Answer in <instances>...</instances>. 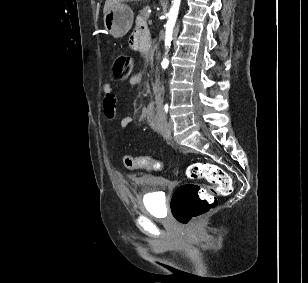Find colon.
<instances>
[{
  "label": "colon",
  "instance_id": "obj_1",
  "mask_svg": "<svg viewBox=\"0 0 308 283\" xmlns=\"http://www.w3.org/2000/svg\"><path fill=\"white\" fill-rule=\"evenodd\" d=\"M133 62L128 55L115 58L111 76L113 80H123L132 71ZM124 165L128 169H160L161 164L147 156H124ZM187 175L192 179H204L208 185L186 183L179 186L171 198V210L174 219L183 226H190L201 220L216 206L217 195H228L232 189L229 174L220 166L197 162L188 167Z\"/></svg>",
  "mask_w": 308,
  "mask_h": 283
}]
</instances>
